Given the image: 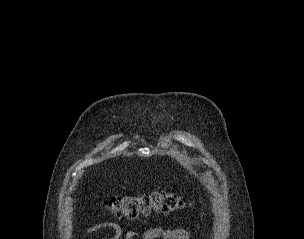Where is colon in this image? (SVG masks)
<instances>
[{
	"mask_svg": "<svg viewBox=\"0 0 304 239\" xmlns=\"http://www.w3.org/2000/svg\"><path fill=\"white\" fill-rule=\"evenodd\" d=\"M187 200L176 193L155 191L135 196H114L104 207L117 217L136 218L155 213L174 212L187 207Z\"/></svg>",
	"mask_w": 304,
	"mask_h": 239,
	"instance_id": "1",
	"label": "colon"
}]
</instances>
